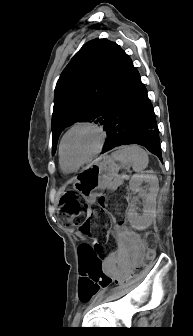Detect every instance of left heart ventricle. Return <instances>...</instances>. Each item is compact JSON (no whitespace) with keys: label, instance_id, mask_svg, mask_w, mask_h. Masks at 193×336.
<instances>
[{"label":"left heart ventricle","instance_id":"obj_1","mask_svg":"<svg viewBox=\"0 0 193 336\" xmlns=\"http://www.w3.org/2000/svg\"><path fill=\"white\" fill-rule=\"evenodd\" d=\"M99 144L98 133L87 127L72 131L64 144V155L71 163H79L90 156Z\"/></svg>","mask_w":193,"mask_h":336}]
</instances>
